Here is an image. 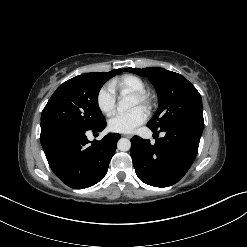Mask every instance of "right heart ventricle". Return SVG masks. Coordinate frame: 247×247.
<instances>
[{
	"label": "right heart ventricle",
	"mask_w": 247,
	"mask_h": 247,
	"mask_svg": "<svg viewBox=\"0 0 247 247\" xmlns=\"http://www.w3.org/2000/svg\"><path fill=\"white\" fill-rule=\"evenodd\" d=\"M112 89L120 93H135L146 90L145 81L133 74L123 75L121 78L112 83Z\"/></svg>",
	"instance_id": "obj_1"
}]
</instances>
